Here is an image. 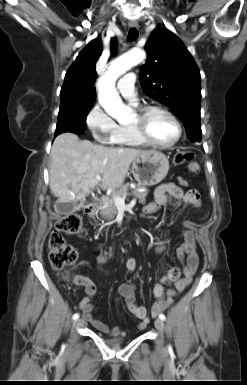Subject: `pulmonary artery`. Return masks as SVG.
I'll return each mask as SVG.
<instances>
[{"mask_svg": "<svg viewBox=\"0 0 247 385\" xmlns=\"http://www.w3.org/2000/svg\"><path fill=\"white\" fill-rule=\"evenodd\" d=\"M135 78L136 75L134 73H128L118 82V89L122 97L132 102L134 105L137 104V93L134 86Z\"/></svg>", "mask_w": 247, "mask_h": 385, "instance_id": "obj_1", "label": "pulmonary artery"}]
</instances>
